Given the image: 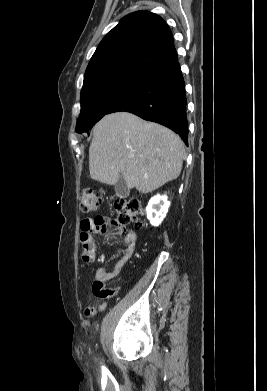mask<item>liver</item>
<instances>
[{"instance_id": "1", "label": "liver", "mask_w": 267, "mask_h": 391, "mask_svg": "<svg viewBox=\"0 0 267 391\" xmlns=\"http://www.w3.org/2000/svg\"><path fill=\"white\" fill-rule=\"evenodd\" d=\"M184 152L182 140L168 128L132 113H111L93 128L90 176L114 185L121 175L128 188L152 192L180 175Z\"/></svg>"}]
</instances>
